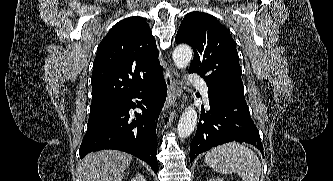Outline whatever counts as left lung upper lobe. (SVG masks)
Wrapping results in <instances>:
<instances>
[{"instance_id": "1", "label": "left lung upper lobe", "mask_w": 333, "mask_h": 181, "mask_svg": "<svg viewBox=\"0 0 333 181\" xmlns=\"http://www.w3.org/2000/svg\"><path fill=\"white\" fill-rule=\"evenodd\" d=\"M175 41L193 48L190 73L199 74L207 85L218 89L230 101L248 107L235 42L214 16L203 12L188 13Z\"/></svg>"}]
</instances>
